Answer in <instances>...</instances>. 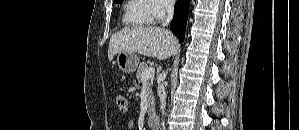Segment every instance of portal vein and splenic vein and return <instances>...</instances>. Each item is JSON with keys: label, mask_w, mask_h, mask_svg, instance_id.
<instances>
[{"label": "portal vein and splenic vein", "mask_w": 299, "mask_h": 130, "mask_svg": "<svg viewBox=\"0 0 299 130\" xmlns=\"http://www.w3.org/2000/svg\"><path fill=\"white\" fill-rule=\"evenodd\" d=\"M155 69L153 67L148 68L147 70H145L142 74V79L143 80H148L150 79V77L152 76V74H154Z\"/></svg>", "instance_id": "portal-vein-and-splenic-vein-1"}]
</instances>
